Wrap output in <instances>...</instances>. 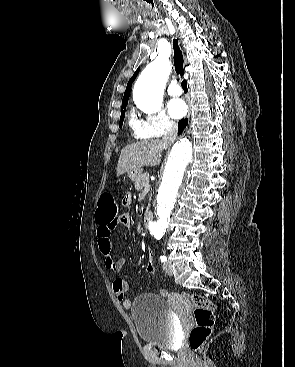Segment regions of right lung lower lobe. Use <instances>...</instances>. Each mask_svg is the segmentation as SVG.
<instances>
[{
  "label": "right lung lower lobe",
  "instance_id": "right-lung-lower-lobe-1",
  "mask_svg": "<svg viewBox=\"0 0 295 367\" xmlns=\"http://www.w3.org/2000/svg\"><path fill=\"white\" fill-rule=\"evenodd\" d=\"M187 123H188V119H182V120L179 121V123H178V131H179V133L178 134H181L182 133V131L186 127Z\"/></svg>",
  "mask_w": 295,
  "mask_h": 367
}]
</instances>
